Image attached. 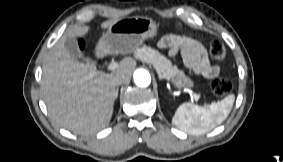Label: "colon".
I'll return each mask as SVG.
<instances>
[{
    "instance_id": "obj_1",
    "label": "colon",
    "mask_w": 283,
    "mask_h": 162,
    "mask_svg": "<svg viewBox=\"0 0 283 162\" xmlns=\"http://www.w3.org/2000/svg\"><path fill=\"white\" fill-rule=\"evenodd\" d=\"M210 55L214 60L222 61L227 57V50L222 42L214 39L210 43ZM211 88L216 97H224L231 92L233 84L227 78H216L212 81Z\"/></svg>"
}]
</instances>
